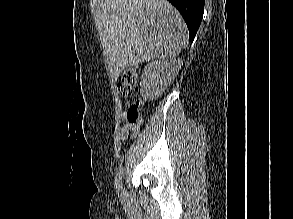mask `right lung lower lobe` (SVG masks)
I'll return each instance as SVG.
<instances>
[{
  "mask_svg": "<svg viewBox=\"0 0 293 219\" xmlns=\"http://www.w3.org/2000/svg\"><path fill=\"white\" fill-rule=\"evenodd\" d=\"M172 3L181 13L184 18L188 30L189 38L192 42L195 38L197 30L200 26L203 12L204 0H168Z\"/></svg>",
  "mask_w": 293,
  "mask_h": 219,
  "instance_id": "obj_1",
  "label": "right lung lower lobe"
}]
</instances>
